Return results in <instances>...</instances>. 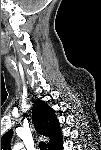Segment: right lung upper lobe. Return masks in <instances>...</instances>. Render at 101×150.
I'll return each mask as SVG.
<instances>
[{"label": "right lung upper lobe", "instance_id": "1", "mask_svg": "<svg viewBox=\"0 0 101 150\" xmlns=\"http://www.w3.org/2000/svg\"><path fill=\"white\" fill-rule=\"evenodd\" d=\"M33 123L38 132L50 139L47 147L49 150L57 149L62 142V134L59 122L54 111L42 100H36L32 109ZM12 130H9L1 138V149H10Z\"/></svg>", "mask_w": 101, "mask_h": 150}]
</instances>
